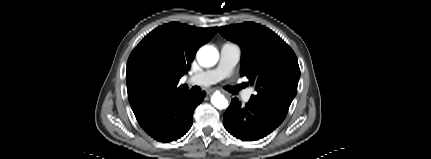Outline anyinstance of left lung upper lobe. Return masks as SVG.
<instances>
[{
  "label": "left lung upper lobe",
  "mask_w": 431,
  "mask_h": 159,
  "mask_svg": "<svg viewBox=\"0 0 431 159\" xmlns=\"http://www.w3.org/2000/svg\"><path fill=\"white\" fill-rule=\"evenodd\" d=\"M219 32L241 47V76L257 91L250 100L288 112L300 77L293 50L272 30L253 22L220 27Z\"/></svg>",
  "instance_id": "1"
}]
</instances>
